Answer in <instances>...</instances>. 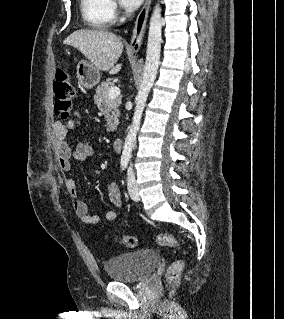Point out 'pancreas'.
<instances>
[{"label":"pancreas","instance_id":"1","mask_svg":"<svg viewBox=\"0 0 284 319\" xmlns=\"http://www.w3.org/2000/svg\"><path fill=\"white\" fill-rule=\"evenodd\" d=\"M112 86H114V83L111 82V79L103 81L101 85L97 87L96 94L94 95V103L97 105L99 111L104 114L108 132L117 129L120 114L118 107L121 103L119 97L109 99L108 92Z\"/></svg>","mask_w":284,"mask_h":319}]
</instances>
